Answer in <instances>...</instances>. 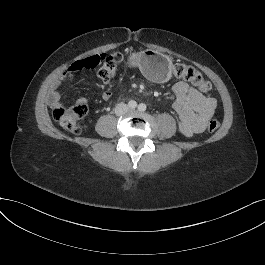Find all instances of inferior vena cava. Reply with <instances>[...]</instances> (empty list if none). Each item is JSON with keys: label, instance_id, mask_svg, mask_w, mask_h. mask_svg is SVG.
<instances>
[{"label": "inferior vena cava", "instance_id": "1", "mask_svg": "<svg viewBox=\"0 0 265 265\" xmlns=\"http://www.w3.org/2000/svg\"><path fill=\"white\" fill-rule=\"evenodd\" d=\"M129 110V107L127 104L125 103H119L117 104L116 108H115V113L117 116H122L124 114H126Z\"/></svg>", "mask_w": 265, "mask_h": 265}]
</instances>
